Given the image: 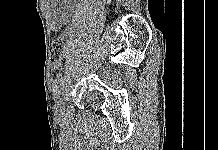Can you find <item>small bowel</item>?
I'll list each match as a JSON object with an SVG mask.
<instances>
[{
  "instance_id": "c3829d8e",
  "label": "small bowel",
  "mask_w": 218,
  "mask_h": 150,
  "mask_svg": "<svg viewBox=\"0 0 218 150\" xmlns=\"http://www.w3.org/2000/svg\"><path fill=\"white\" fill-rule=\"evenodd\" d=\"M58 1L59 0H48L52 28L54 30L69 23L70 18L74 13L73 0H63L61 9H57Z\"/></svg>"
}]
</instances>
